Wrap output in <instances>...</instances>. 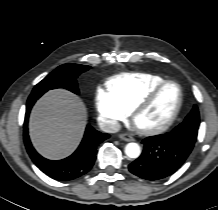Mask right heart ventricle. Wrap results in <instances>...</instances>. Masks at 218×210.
Here are the masks:
<instances>
[{"instance_id":"1","label":"right heart ventricle","mask_w":218,"mask_h":210,"mask_svg":"<svg viewBox=\"0 0 218 210\" xmlns=\"http://www.w3.org/2000/svg\"><path fill=\"white\" fill-rule=\"evenodd\" d=\"M165 79L152 73H127L108 81V91L129 112L156 85Z\"/></svg>"}]
</instances>
